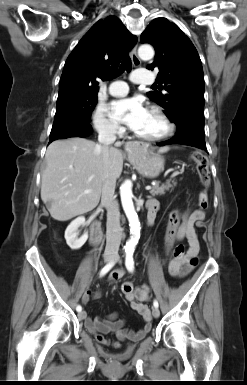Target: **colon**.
I'll return each mask as SVG.
<instances>
[{
	"label": "colon",
	"instance_id": "colon-1",
	"mask_svg": "<svg viewBox=\"0 0 247 385\" xmlns=\"http://www.w3.org/2000/svg\"><path fill=\"white\" fill-rule=\"evenodd\" d=\"M193 160L196 163L197 171L200 177L202 184V190L199 193V206L202 210L207 209L209 204V198L207 190L210 185V171L208 159L204 154L195 153L192 156ZM184 246L182 244H177L172 252L173 260H180L184 257ZM122 292L124 294L131 292V287L129 285H122Z\"/></svg>",
	"mask_w": 247,
	"mask_h": 385
}]
</instances>
